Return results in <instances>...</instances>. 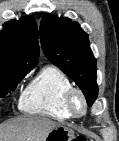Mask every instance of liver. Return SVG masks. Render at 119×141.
<instances>
[{"mask_svg": "<svg viewBox=\"0 0 119 141\" xmlns=\"http://www.w3.org/2000/svg\"><path fill=\"white\" fill-rule=\"evenodd\" d=\"M60 125L44 117L19 118L0 130V141H44Z\"/></svg>", "mask_w": 119, "mask_h": 141, "instance_id": "liver-1", "label": "liver"}]
</instances>
